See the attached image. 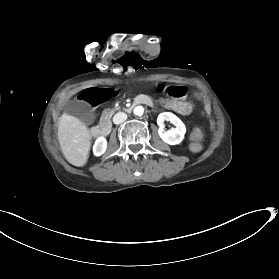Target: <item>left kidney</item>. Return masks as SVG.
<instances>
[{
    "label": "left kidney",
    "instance_id": "obj_1",
    "mask_svg": "<svg viewBox=\"0 0 279 279\" xmlns=\"http://www.w3.org/2000/svg\"><path fill=\"white\" fill-rule=\"evenodd\" d=\"M164 121L171 122L176 128L170 130L164 129ZM157 124L159 126L158 133L161 139L170 145H176L182 142L186 133L184 123L173 113L163 112L158 115Z\"/></svg>",
    "mask_w": 279,
    "mask_h": 279
}]
</instances>
